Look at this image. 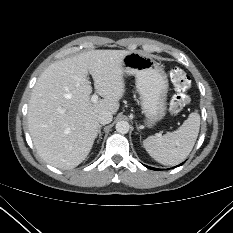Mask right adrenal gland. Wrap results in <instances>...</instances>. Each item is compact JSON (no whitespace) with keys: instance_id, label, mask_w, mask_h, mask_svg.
Listing matches in <instances>:
<instances>
[{"instance_id":"1","label":"right adrenal gland","mask_w":233,"mask_h":233,"mask_svg":"<svg viewBox=\"0 0 233 233\" xmlns=\"http://www.w3.org/2000/svg\"><path fill=\"white\" fill-rule=\"evenodd\" d=\"M101 128H102V125H100L99 129H98V137H99V139L97 140V143H99V141L102 139Z\"/></svg>"}]
</instances>
